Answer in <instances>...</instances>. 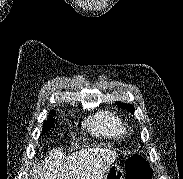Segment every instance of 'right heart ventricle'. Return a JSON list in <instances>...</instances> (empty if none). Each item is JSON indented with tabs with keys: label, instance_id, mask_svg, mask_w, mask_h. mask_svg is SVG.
Wrapping results in <instances>:
<instances>
[{
	"label": "right heart ventricle",
	"instance_id": "right-heart-ventricle-1",
	"mask_svg": "<svg viewBox=\"0 0 183 179\" xmlns=\"http://www.w3.org/2000/svg\"><path fill=\"white\" fill-rule=\"evenodd\" d=\"M89 125L91 132L99 136L119 137L125 132L122 122L109 112L97 115Z\"/></svg>",
	"mask_w": 183,
	"mask_h": 179
}]
</instances>
